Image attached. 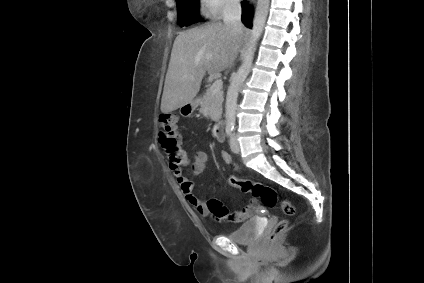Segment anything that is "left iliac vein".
Returning a JSON list of instances; mask_svg holds the SVG:
<instances>
[{
	"instance_id": "4c4485c4",
	"label": "left iliac vein",
	"mask_w": 424,
	"mask_h": 283,
	"mask_svg": "<svg viewBox=\"0 0 424 283\" xmlns=\"http://www.w3.org/2000/svg\"><path fill=\"white\" fill-rule=\"evenodd\" d=\"M230 148H231L232 152H234V153H239V151H240L239 142L237 140V136H236L235 133H233L232 136H231Z\"/></svg>"
}]
</instances>
